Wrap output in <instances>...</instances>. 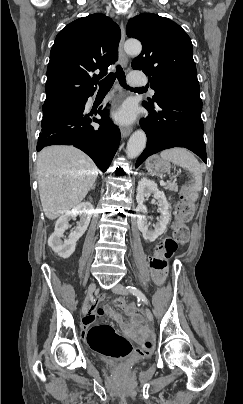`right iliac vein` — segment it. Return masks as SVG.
I'll return each instance as SVG.
<instances>
[{"label":"right iliac vein","instance_id":"right-iliac-vein-1","mask_svg":"<svg viewBox=\"0 0 243 404\" xmlns=\"http://www.w3.org/2000/svg\"><path fill=\"white\" fill-rule=\"evenodd\" d=\"M95 288H96V284L94 282L91 283L88 287L86 301L82 307L83 315H86L88 312V300L91 297L92 293L94 292Z\"/></svg>","mask_w":243,"mask_h":404}]
</instances>
